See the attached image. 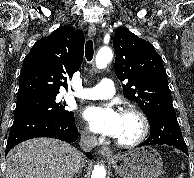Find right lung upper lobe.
Returning <instances> with one entry per match:
<instances>
[{
	"mask_svg": "<svg viewBox=\"0 0 194 178\" xmlns=\"http://www.w3.org/2000/svg\"><path fill=\"white\" fill-rule=\"evenodd\" d=\"M84 35L61 26L37 41L23 61L17 102L56 96L83 61Z\"/></svg>",
	"mask_w": 194,
	"mask_h": 178,
	"instance_id": "1",
	"label": "right lung upper lobe"
}]
</instances>
